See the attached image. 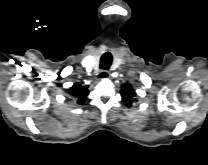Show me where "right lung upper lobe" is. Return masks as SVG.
Returning <instances> with one entry per match:
<instances>
[{
  "instance_id": "cb5924a9",
  "label": "right lung upper lobe",
  "mask_w": 208,
  "mask_h": 165,
  "mask_svg": "<svg viewBox=\"0 0 208 165\" xmlns=\"http://www.w3.org/2000/svg\"><path fill=\"white\" fill-rule=\"evenodd\" d=\"M70 94L77 98L78 104H82L88 95V86H82L80 83H75L70 88Z\"/></svg>"
}]
</instances>
